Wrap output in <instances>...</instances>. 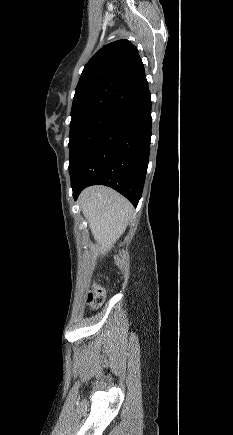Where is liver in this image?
<instances>
[{"label": "liver", "instance_id": "liver-1", "mask_svg": "<svg viewBox=\"0 0 233 435\" xmlns=\"http://www.w3.org/2000/svg\"><path fill=\"white\" fill-rule=\"evenodd\" d=\"M79 204L97 242V252L105 254L125 232L133 206L118 192L105 186L86 188L79 197Z\"/></svg>", "mask_w": 233, "mask_h": 435}]
</instances>
